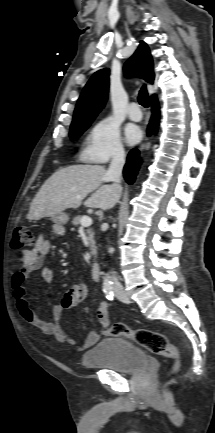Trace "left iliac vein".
<instances>
[{
	"instance_id": "left-iliac-vein-1",
	"label": "left iliac vein",
	"mask_w": 215,
	"mask_h": 433,
	"mask_svg": "<svg viewBox=\"0 0 215 433\" xmlns=\"http://www.w3.org/2000/svg\"><path fill=\"white\" fill-rule=\"evenodd\" d=\"M116 297L123 303H129V298L126 293H116Z\"/></svg>"
}]
</instances>
